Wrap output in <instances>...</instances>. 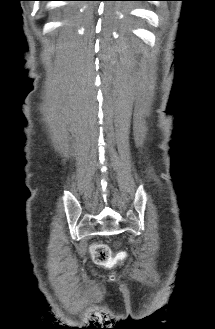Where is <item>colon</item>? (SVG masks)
Wrapping results in <instances>:
<instances>
[{
    "instance_id": "1",
    "label": "colon",
    "mask_w": 215,
    "mask_h": 329,
    "mask_svg": "<svg viewBox=\"0 0 215 329\" xmlns=\"http://www.w3.org/2000/svg\"><path fill=\"white\" fill-rule=\"evenodd\" d=\"M91 255L93 261L98 265H108L111 263L113 256L110 248L105 244H95L91 247ZM127 253L121 251L117 254L116 258L124 260Z\"/></svg>"
}]
</instances>
